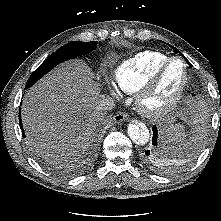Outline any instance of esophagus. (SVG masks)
I'll list each match as a JSON object with an SVG mask.
<instances>
[{
	"mask_svg": "<svg viewBox=\"0 0 221 221\" xmlns=\"http://www.w3.org/2000/svg\"><path fill=\"white\" fill-rule=\"evenodd\" d=\"M127 119H128V116L124 112H118L113 117V120L115 123H121Z\"/></svg>",
	"mask_w": 221,
	"mask_h": 221,
	"instance_id": "1",
	"label": "esophagus"
}]
</instances>
